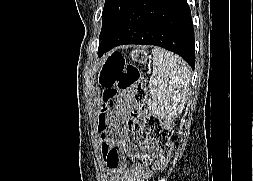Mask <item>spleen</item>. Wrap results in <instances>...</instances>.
I'll list each match as a JSON object with an SVG mask.
<instances>
[{
  "label": "spleen",
  "instance_id": "spleen-1",
  "mask_svg": "<svg viewBox=\"0 0 253 181\" xmlns=\"http://www.w3.org/2000/svg\"><path fill=\"white\" fill-rule=\"evenodd\" d=\"M152 55L148 109L159 118L172 120L182 112L188 98L189 67L179 56L160 47H154Z\"/></svg>",
  "mask_w": 253,
  "mask_h": 181
}]
</instances>
